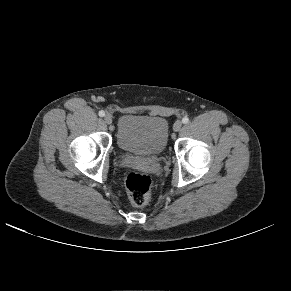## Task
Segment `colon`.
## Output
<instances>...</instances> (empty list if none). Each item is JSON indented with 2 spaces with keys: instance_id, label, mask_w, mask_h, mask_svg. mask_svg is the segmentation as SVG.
Listing matches in <instances>:
<instances>
[{
  "instance_id": "1",
  "label": "colon",
  "mask_w": 291,
  "mask_h": 291,
  "mask_svg": "<svg viewBox=\"0 0 291 291\" xmlns=\"http://www.w3.org/2000/svg\"><path fill=\"white\" fill-rule=\"evenodd\" d=\"M125 186L131 202L136 206L147 204L150 199L152 180L144 173L130 172L125 178Z\"/></svg>"
}]
</instances>
